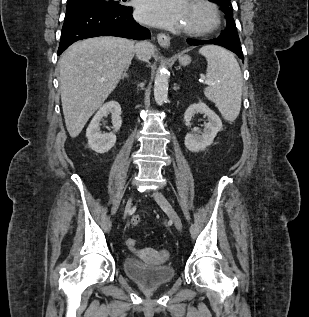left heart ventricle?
Instances as JSON below:
<instances>
[{
	"mask_svg": "<svg viewBox=\"0 0 309 317\" xmlns=\"http://www.w3.org/2000/svg\"><path fill=\"white\" fill-rule=\"evenodd\" d=\"M207 20V15L203 11L190 5L185 21V27L203 25Z\"/></svg>",
	"mask_w": 309,
	"mask_h": 317,
	"instance_id": "obj_1",
	"label": "left heart ventricle"
}]
</instances>
